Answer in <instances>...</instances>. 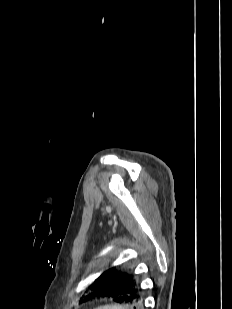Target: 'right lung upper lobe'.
Returning a JSON list of instances; mask_svg holds the SVG:
<instances>
[{
    "label": "right lung upper lobe",
    "mask_w": 232,
    "mask_h": 309,
    "mask_svg": "<svg viewBox=\"0 0 232 309\" xmlns=\"http://www.w3.org/2000/svg\"><path fill=\"white\" fill-rule=\"evenodd\" d=\"M112 270L115 271L114 269H110V270H108V271H112Z\"/></svg>",
    "instance_id": "cb5924a9"
}]
</instances>
